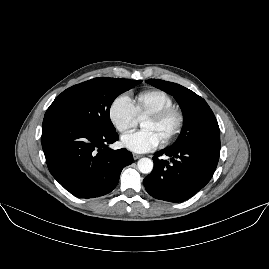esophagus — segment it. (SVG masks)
<instances>
[{"label":"esophagus","instance_id":"34e87169","mask_svg":"<svg viewBox=\"0 0 269 269\" xmlns=\"http://www.w3.org/2000/svg\"><path fill=\"white\" fill-rule=\"evenodd\" d=\"M134 160H137L142 157V155L139 154H133Z\"/></svg>","mask_w":269,"mask_h":269}]
</instances>
